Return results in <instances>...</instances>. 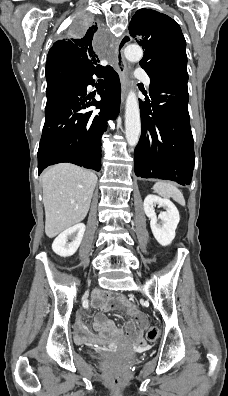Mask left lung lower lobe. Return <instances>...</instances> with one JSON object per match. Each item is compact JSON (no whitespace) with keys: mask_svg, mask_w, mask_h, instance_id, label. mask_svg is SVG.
Instances as JSON below:
<instances>
[{"mask_svg":"<svg viewBox=\"0 0 228 396\" xmlns=\"http://www.w3.org/2000/svg\"><path fill=\"white\" fill-rule=\"evenodd\" d=\"M150 101L141 102V137L135 174L189 185L195 162L188 113V87L165 76L150 77Z\"/></svg>","mask_w":228,"mask_h":396,"instance_id":"left-lung-lower-lobe-1","label":"left lung lower lobe"}]
</instances>
